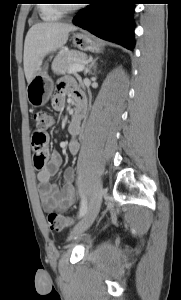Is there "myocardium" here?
Returning a JSON list of instances; mask_svg holds the SVG:
<instances>
[{
	"label": "myocardium",
	"mask_w": 181,
	"mask_h": 300,
	"mask_svg": "<svg viewBox=\"0 0 181 300\" xmlns=\"http://www.w3.org/2000/svg\"><path fill=\"white\" fill-rule=\"evenodd\" d=\"M56 6L62 13H68L76 9V6L69 5L68 3H58Z\"/></svg>",
	"instance_id": "myocardium-1"
}]
</instances>
